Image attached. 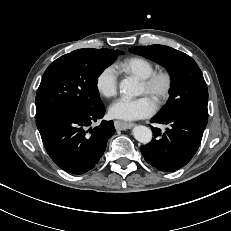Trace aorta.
<instances>
[{
	"label": "aorta",
	"mask_w": 231,
	"mask_h": 231,
	"mask_svg": "<svg viewBox=\"0 0 231 231\" xmlns=\"http://www.w3.org/2000/svg\"><path fill=\"white\" fill-rule=\"evenodd\" d=\"M120 91L129 97L137 96L140 93L138 82L131 77L123 79L120 82ZM132 134L137 141L143 144H148L153 135L150 128L142 125L134 127Z\"/></svg>",
	"instance_id": "1"
}]
</instances>
